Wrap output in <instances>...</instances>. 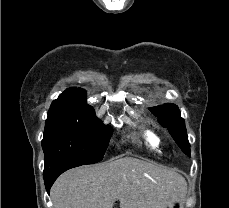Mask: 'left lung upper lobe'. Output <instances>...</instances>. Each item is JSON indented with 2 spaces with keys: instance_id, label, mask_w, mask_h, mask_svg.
<instances>
[{
  "instance_id": "1",
  "label": "left lung upper lobe",
  "mask_w": 229,
  "mask_h": 208,
  "mask_svg": "<svg viewBox=\"0 0 229 208\" xmlns=\"http://www.w3.org/2000/svg\"><path fill=\"white\" fill-rule=\"evenodd\" d=\"M149 110L158 118L160 124L168 129L183 152L190 150L185 121L181 117L178 106L172 103H166L156 107H150Z\"/></svg>"
}]
</instances>
